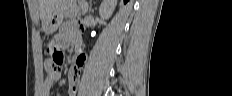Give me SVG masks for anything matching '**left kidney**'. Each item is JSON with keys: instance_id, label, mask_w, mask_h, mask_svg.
<instances>
[{"instance_id": "5707ae66", "label": "left kidney", "mask_w": 232, "mask_h": 96, "mask_svg": "<svg viewBox=\"0 0 232 96\" xmlns=\"http://www.w3.org/2000/svg\"><path fill=\"white\" fill-rule=\"evenodd\" d=\"M116 5L117 0H103L99 8L100 16L104 19L110 18Z\"/></svg>"}]
</instances>
